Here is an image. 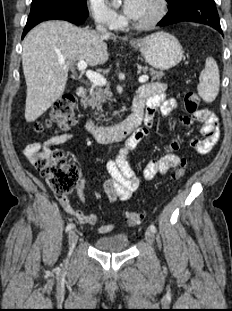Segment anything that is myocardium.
Segmentation results:
<instances>
[{
    "mask_svg": "<svg viewBox=\"0 0 232 311\" xmlns=\"http://www.w3.org/2000/svg\"><path fill=\"white\" fill-rule=\"evenodd\" d=\"M155 11L153 15L143 22L130 21V25L137 30H148L156 26L166 14V1L165 0H154Z\"/></svg>",
    "mask_w": 232,
    "mask_h": 311,
    "instance_id": "f54148a6",
    "label": "myocardium"
}]
</instances>
